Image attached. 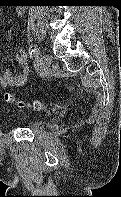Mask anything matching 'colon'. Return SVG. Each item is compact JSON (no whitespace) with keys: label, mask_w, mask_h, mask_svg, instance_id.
<instances>
[{"label":"colon","mask_w":121,"mask_h":197,"mask_svg":"<svg viewBox=\"0 0 121 197\" xmlns=\"http://www.w3.org/2000/svg\"><path fill=\"white\" fill-rule=\"evenodd\" d=\"M5 101L7 104H15L20 108H24V109H31L34 111H39L41 109V103L38 100L32 101V102H23V101H18L16 96L14 94L11 93H7L5 95Z\"/></svg>","instance_id":"colon-1"}]
</instances>
